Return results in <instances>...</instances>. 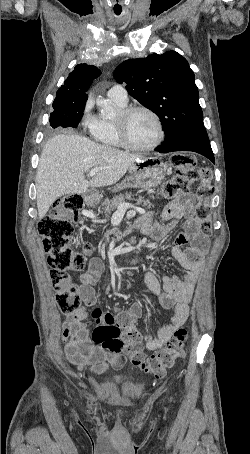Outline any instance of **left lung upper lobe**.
I'll return each instance as SVG.
<instances>
[{"instance_id":"obj_1","label":"left lung upper lobe","mask_w":250,"mask_h":454,"mask_svg":"<svg viewBox=\"0 0 250 454\" xmlns=\"http://www.w3.org/2000/svg\"><path fill=\"white\" fill-rule=\"evenodd\" d=\"M118 83L161 120L162 145L204 128L195 76L187 60L175 51L129 59L114 72Z\"/></svg>"}]
</instances>
